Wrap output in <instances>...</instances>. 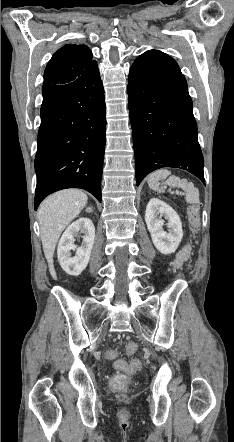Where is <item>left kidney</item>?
I'll use <instances>...</instances> for the list:
<instances>
[{
    "instance_id": "5707ae66",
    "label": "left kidney",
    "mask_w": 234,
    "mask_h": 442,
    "mask_svg": "<svg viewBox=\"0 0 234 442\" xmlns=\"http://www.w3.org/2000/svg\"><path fill=\"white\" fill-rule=\"evenodd\" d=\"M168 220V232L163 230L164 221ZM145 222L151 233L152 242L162 254H171L178 248L182 237V223L179 215L167 203L158 198H151L146 207Z\"/></svg>"
}]
</instances>
